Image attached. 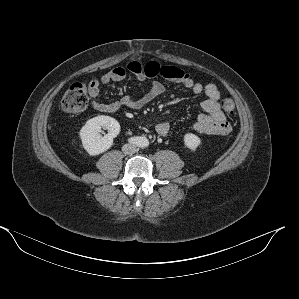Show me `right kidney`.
Segmentation results:
<instances>
[{
  "label": "right kidney",
  "instance_id": "ca27d5eb",
  "mask_svg": "<svg viewBox=\"0 0 299 299\" xmlns=\"http://www.w3.org/2000/svg\"><path fill=\"white\" fill-rule=\"evenodd\" d=\"M107 129L108 133L102 136L101 129ZM120 132V124L109 116H97L89 119L80 130V139L86 152L91 155H99L107 151L113 145V139Z\"/></svg>",
  "mask_w": 299,
  "mask_h": 299
}]
</instances>
